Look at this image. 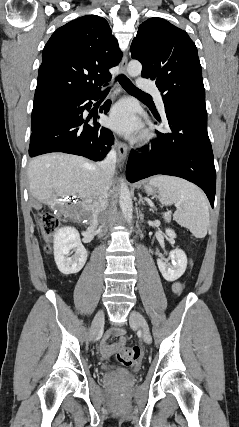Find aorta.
Here are the masks:
<instances>
[{
  "label": "aorta",
  "mask_w": 239,
  "mask_h": 427,
  "mask_svg": "<svg viewBox=\"0 0 239 427\" xmlns=\"http://www.w3.org/2000/svg\"><path fill=\"white\" fill-rule=\"evenodd\" d=\"M142 65L139 61L133 60L127 66V73L130 77H137L141 74ZM119 194V203L123 216L130 223L133 216V203L131 199L130 190L122 178Z\"/></svg>",
  "instance_id": "1"
}]
</instances>
